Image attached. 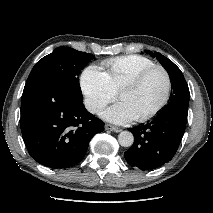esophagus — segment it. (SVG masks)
Listing matches in <instances>:
<instances>
[{"label":"esophagus","instance_id":"obj_1","mask_svg":"<svg viewBox=\"0 0 213 213\" xmlns=\"http://www.w3.org/2000/svg\"><path fill=\"white\" fill-rule=\"evenodd\" d=\"M105 129H106V130L113 131V132H120V131H121L120 128H118V127H116V126H113V125H111V124H106V125H105Z\"/></svg>","mask_w":213,"mask_h":213}]
</instances>
